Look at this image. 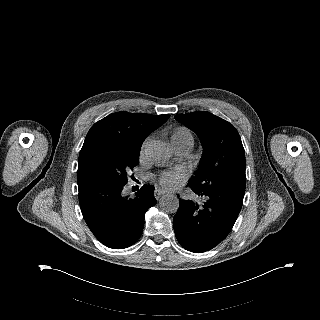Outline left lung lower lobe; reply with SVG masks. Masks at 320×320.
<instances>
[{
    "label": "left lung lower lobe",
    "instance_id": "left-lung-lower-lobe-1",
    "mask_svg": "<svg viewBox=\"0 0 320 320\" xmlns=\"http://www.w3.org/2000/svg\"><path fill=\"white\" fill-rule=\"evenodd\" d=\"M192 190L205 202L198 205L180 200L173 225L180 245L201 253L214 248L229 234L241 210L245 189L228 185L205 192Z\"/></svg>",
    "mask_w": 320,
    "mask_h": 320
}]
</instances>
